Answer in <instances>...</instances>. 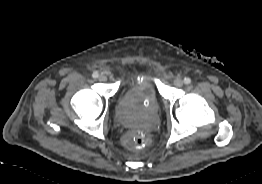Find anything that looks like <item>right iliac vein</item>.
Masks as SVG:
<instances>
[{
    "label": "right iliac vein",
    "instance_id": "obj_1",
    "mask_svg": "<svg viewBox=\"0 0 262 184\" xmlns=\"http://www.w3.org/2000/svg\"><path fill=\"white\" fill-rule=\"evenodd\" d=\"M106 80H107V76H106L105 74H100V76H99V81L104 82V81H106Z\"/></svg>",
    "mask_w": 262,
    "mask_h": 184
}]
</instances>
